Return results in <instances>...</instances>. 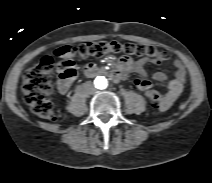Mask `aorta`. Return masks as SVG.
<instances>
[{"mask_svg":"<svg viewBox=\"0 0 212 183\" xmlns=\"http://www.w3.org/2000/svg\"><path fill=\"white\" fill-rule=\"evenodd\" d=\"M108 83V79L104 75H99L94 80L95 87L99 90H105L108 87Z\"/></svg>","mask_w":212,"mask_h":183,"instance_id":"1","label":"aorta"}]
</instances>
